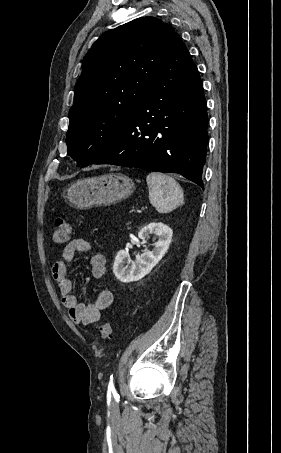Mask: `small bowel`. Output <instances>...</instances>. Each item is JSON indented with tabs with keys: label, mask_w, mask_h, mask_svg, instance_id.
<instances>
[{
	"label": "small bowel",
	"mask_w": 281,
	"mask_h": 453,
	"mask_svg": "<svg viewBox=\"0 0 281 453\" xmlns=\"http://www.w3.org/2000/svg\"><path fill=\"white\" fill-rule=\"evenodd\" d=\"M90 244L87 239L75 238L63 249L62 259L56 260L51 269V274L58 285L62 303L67 309L69 319L77 325L97 323L102 311L109 307L114 299L109 289H101L96 294V300L83 304L72 293V281L68 275L67 262L72 260L77 253H88ZM90 276L100 279L105 276L106 266L103 254H93L89 261Z\"/></svg>",
	"instance_id": "1"
}]
</instances>
